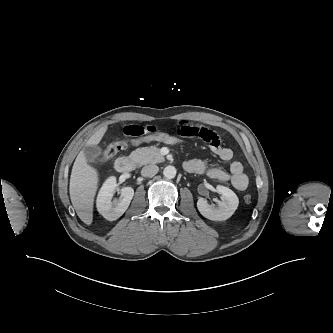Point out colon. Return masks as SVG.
<instances>
[{
    "instance_id": "5ec220e1",
    "label": "colon",
    "mask_w": 333,
    "mask_h": 333,
    "mask_svg": "<svg viewBox=\"0 0 333 333\" xmlns=\"http://www.w3.org/2000/svg\"><path fill=\"white\" fill-rule=\"evenodd\" d=\"M151 141L161 142L163 144L173 146V147H181L185 144V140L183 139V137H181L179 135L165 133V132H156V133L144 135L141 137H137V138H134L131 140H120V141H113V142L109 143L103 150L99 161L105 162V161L111 159L120 150L127 147L128 144L137 145V144H141L144 142H151ZM244 201L247 204L251 203V201H252L251 195H249V194L245 195Z\"/></svg>"
}]
</instances>
